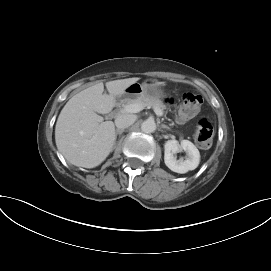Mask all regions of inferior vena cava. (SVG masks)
<instances>
[{"label":"inferior vena cava","instance_id":"602c4592","mask_svg":"<svg viewBox=\"0 0 271 271\" xmlns=\"http://www.w3.org/2000/svg\"><path fill=\"white\" fill-rule=\"evenodd\" d=\"M136 118L130 114L118 115L115 119V125L118 129H125L135 122Z\"/></svg>","mask_w":271,"mask_h":271}]
</instances>
